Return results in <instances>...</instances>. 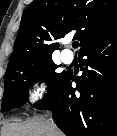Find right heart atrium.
I'll return each mask as SVG.
<instances>
[{"label": "right heart atrium", "instance_id": "1", "mask_svg": "<svg viewBox=\"0 0 117 136\" xmlns=\"http://www.w3.org/2000/svg\"><path fill=\"white\" fill-rule=\"evenodd\" d=\"M47 92V82L44 78L39 77L29 87L26 100L29 104L38 103Z\"/></svg>", "mask_w": 117, "mask_h": 136}]
</instances>
